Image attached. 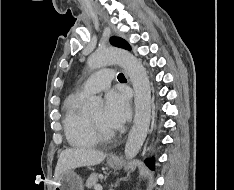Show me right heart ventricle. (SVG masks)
Returning <instances> with one entry per match:
<instances>
[{
	"label": "right heart ventricle",
	"instance_id": "e07e8e85",
	"mask_svg": "<svg viewBox=\"0 0 234 190\" xmlns=\"http://www.w3.org/2000/svg\"><path fill=\"white\" fill-rule=\"evenodd\" d=\"M86 95L75 93L64 102L63 127L68 143L76 148H91L97 145L98 138L82 106Z\"/></svg>",
	"mask_w": 234,
	"mask_h": 190
}]
</instances>
